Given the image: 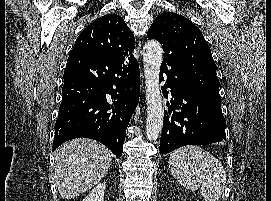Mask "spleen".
<instances>
[{
	"label": "spleen",
	"mask_w": 271,
	"mask_h": 201,
	"mask_svg": "<svg viewBox=\"0 0 271 201\" xmlns=\"http://www.w3.org/2000/svg\"><path fill=\"white\" fill-rule=\"evenodd\" d=\"M171 174L186 189L200 193L205 201H218L226 186L222 163L199 146L181 147L169 156Z\"/></svg>",
	"instance_id": "obj_1"
}]
</instances>
